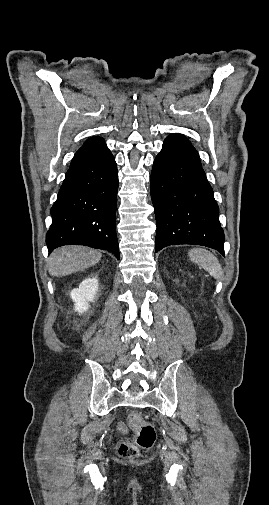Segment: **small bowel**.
<instances>
[{
	"label": "small bowel",
	"instance_id": "1",
	"mask_svg": "<svg viewBox=\"0 0 269 505\" xmlns=\"http://www.w3.org/2000/svg\"><path fill=\"white\" fill-rule=\"evenodd\" d=\"M119 427L122 431H126V427L123 423H121Z\"/></svg>",
	"mask_w": 269,
	"mask_h": 505
}]
</instances>
